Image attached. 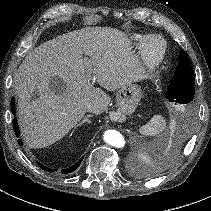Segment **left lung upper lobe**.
<instances>
[{"label":"left lung upper lobe","mask_w":211,"mask_h":211,"mask_svg":"<svg viewBox=\"0 0 211 211\" xmlns=\"http://www.w3.org/2000/svg\"><path fill=\"white\" fill-rule=\"evenodd\" d=\"M195 75L186 53L181 50L175 74L166 91V98L189 107L193 104Z\"/></svg>","instance_id":"1"}]
</instances>
